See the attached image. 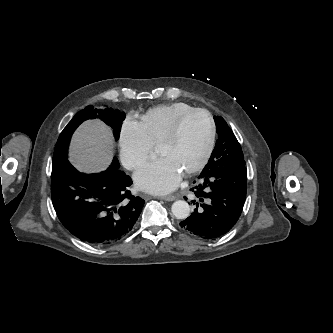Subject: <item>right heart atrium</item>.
<instances>
[{
	"label": "right heart atrium",
	"mask_w": 333,
	"mask_h": 333,
	"mask_svg": "<svg viewBox=\"0 0 333 333\" xmlns=\"http://www.w3.org/2000/svg\"><path fill=\"white\" fill-rule=\"evenodd\" d=\"M118 143L121 162L129 170L139 168L154 147L141 121L131 116H127L121 124Z\"/></svg>",
	"instance_id": "right-heart-atrium-1"
}]
</instances>
